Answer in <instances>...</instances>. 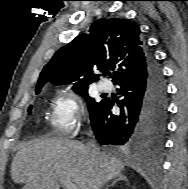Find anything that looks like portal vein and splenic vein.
<instances>
[{
  "mask_svg": "<svg viewBox=\"0 0 188 189\" xmlns=\"http://www.w3.org/2000/svg\"><path fill=\"white\" fill-rule=\"evenodd\" d=\"M60 182L65 189H78L76 184L72 182L65 181V180H61Z\"/></svg>",
  "mask_w": 188,
  "mask_h": 189,
  "instance_id": "portal-vein-and-splenic-vein-1",
  "label": "portal vein and splenic vein"
}]
</instances>
